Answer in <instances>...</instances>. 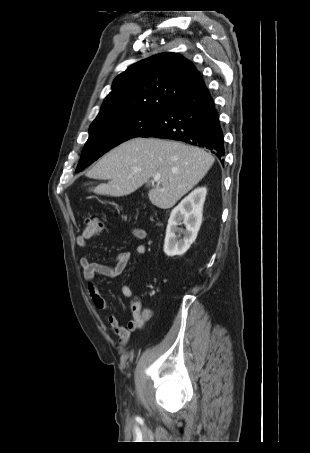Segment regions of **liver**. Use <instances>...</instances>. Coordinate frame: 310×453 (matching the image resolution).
I'll return each instance as SVG.
<instances>
[{"label": "liver", "mask_w": 310, "mask_h": 453, "mask_svg": "<svg viewBox=\"0 0 310 453\" xmlns=\"http://www.w3.org/2000/svg\"><path fill=\"white\" fill-rule=\"evenodd\" d=\"M214 160L205 150L181 142L133 138L105 154L87 176L108 180L91 189L94 193L121 197L159 174L148 197L153 205L168 209L206 175Z\"/></svg>", "instance_id": "obj_1"}]
</instances>
